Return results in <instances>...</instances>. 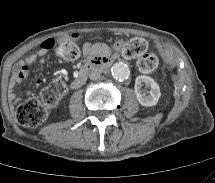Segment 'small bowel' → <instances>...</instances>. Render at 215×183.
Masks as SVG:
<instances>
[{
    "mask_svg": "<svg viewBox=\"0 0 215 183\" xmlns=\"http://www.w3.org/2000/svg\"><path fill=\"white\" fill-rule=\"evenodd\" d=\"M72 38H76V34L71 35ZM50 42L51 46L47 47L44 46L43 43ZM54 45V42L50 39H47L43 42H41L38 46V48L31 54L25 57L24 60H22L17 67L14 70L12 85L9 92V98L12 103L19 102V99L16 97V94L13 90V87L18 84H22L25 79L30 74V65L39 61ZM105 51V47L103 45H91L89 43L84 44L83 46V53L86 56H93L100 53H103ZM39 83V81H37Z\"/></svg>",
    "mask_w": 215,
    "mask_h": 183,
    "instance_id": "1",
    "label": "small bowel"
}]
</instances>
